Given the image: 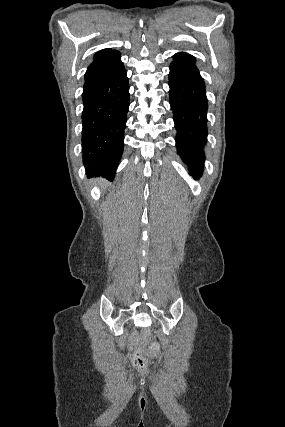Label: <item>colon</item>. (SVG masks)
<instances>
[{
	"label": "colon",
	"instance_id": "5ec220e1",
	"mask_svg": "<svg viewBox=\"0 0 285 427\" xmlns=\"http://www.w3.org/2000/svg\"><path fill=\"white\" fill-rule=\"evenodd\" d=\"M150 352L152 354H158L159 353V344L156 342L151 343L150 345ZM133 364L138 369H144L146 366V359L142 356L141 349L137 348L133 352Z\"/></svg>",
	"mask_w": 285,
	"mask_h": 427
}]
</instances>
